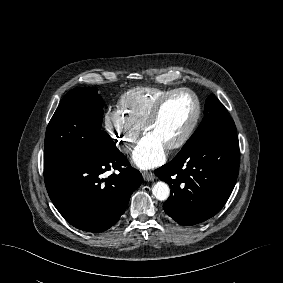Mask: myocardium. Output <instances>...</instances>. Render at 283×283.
Listing matches in <instances>:
<instances>
[{
  "instance_id": "obj_1",
  "label": "myocardium",
  "mask_w": 283,
  "mask_h": 283,
  "mask_svg": "<svg viewBox=\"0 0 283 283\" xmlns=\"http://www.w3.org/2000/svg\"><path fill=\"white\" fill-rule=\"evenodd\" d=\"M177 94H187L189 95L194 103H195V114L193 116V119L191 121V123L189 124V126L187 127V129L184 131V133L181 135V137L176 140L175 142H173L172 144L168 145L166 147V149L168 150H175V149H179L181 147H183L192 137V135L194 134L200 118H201V114H202V106H201V102L199 97L197 96V94L189 89V88H176L171 90L170 92L166 93L165 95H163L161 98H159L156 103L154 104V106L152 107L148 117L146 118L141 130L142 133L145 134L146 130L151 127L156 120L158 119V117L160 116V113L163 109V107L165 106V104L175 95Z\"/></svg>"
}]
</instances>
